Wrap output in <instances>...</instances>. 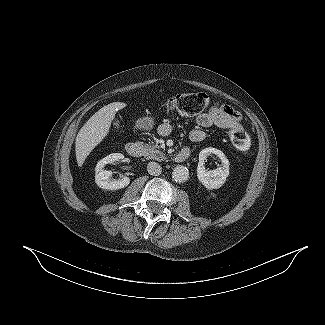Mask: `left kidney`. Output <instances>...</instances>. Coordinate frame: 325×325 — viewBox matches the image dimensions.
Instances as JSON below:
<instances>
[{
  "label": "left kidney",
  "instance_id": "5707ae66",
  "mask_svg": "<svg viewBox=\"0 0 325 325\" xmlns=\"http://www.w3.org/2000/svg\"><path fill=\"white\" fill-rule=\"evenodd\" d=\"M211 154L216 155L221 160V165L215 170L208 171L204 167V162ZM229 165V160L221 150L213 147L205 148L199 153L197 177L207 189H218L225 183L229 176Z\"/></svg>",
  "mask_w": 325,
  "mask_h": 325
}]
</instances>
